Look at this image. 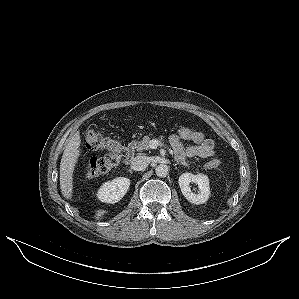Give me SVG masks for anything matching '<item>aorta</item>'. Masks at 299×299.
Listing matches in <instances>:
<instances>
[{
    "label": "aorta",
    "mask_w": 299,
    "mask_h": 299,
    "mask_svg": "<svg viewBox=\"0 0 299 299\" xmlns=\"http://www.w3.org/2000/svg\"><path fill=\"white\" fill-rule=\"evenodd\" d=\"M155 173L158 177H166L167 174L169 173V167L165 164H159L155 168Z\"/></svg>",
    "instance_id": "762f6f07"
}]
</instances>
